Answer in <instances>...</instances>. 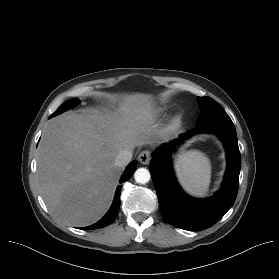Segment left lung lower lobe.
I'll use <instances>...</instances> for the list:
<instances>
[{"label": "left lung lower lobe", "instance_id": "1", "mask_svg": "<svg viewBox=\"0 0 279 279\" xmlns=\"http://www.w3.org/2000/svg\"><path fill=\"white\" fill-rule=\"evenodd\" d=\"M198 132H212L222 140L227 153V170L221 190L207 200L192 199L179 188L171 167L169 154L177 144L163 145L152 154L149 167L156 188L163 218L173 226L189 231H200L214 225L234 204L241 166L237 135L233 122H210L182 134L184 139Z\"/></svg>", "mask_w": 279, "mask_h": 279}]
</instances>
